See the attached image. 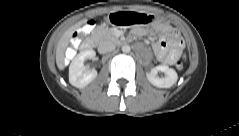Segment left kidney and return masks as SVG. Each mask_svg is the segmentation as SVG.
Here are the masks:
<instances>
[{"label":"left kidney","instance_id":"left-kidney-1","mask_svg":"<svg viewBox=\"0 0 239 136\" xmlns=\"http://www.w3.org/2000/svg\"><path fill=\"white\" fill-rule=\"evenodd\" d=\"M158 72L165 73V77H159ZM148 81L158 88H170L178 79L177 72L166 65H158L146 73Z\"/></svg>","mask_w":239,"mask_h":136}]
</instances>
